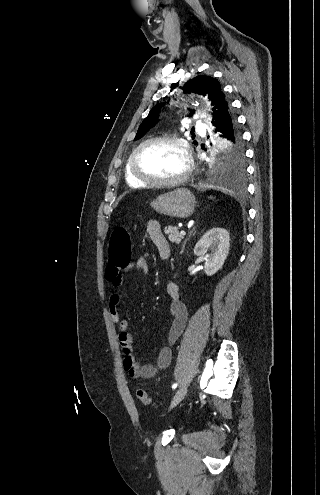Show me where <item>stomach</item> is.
<instances>
[{
  "label": "stomach",
  "instance_id": "1",
  "mask_svg": "<svg viewBox=\"0 0 320 495\" xmlns=\"http://www.w3.org/2000/svg\"><path fill=\"white\" fill-rule=\"evenodd\" d=\"M194 195L186 188L162 194L151 202V207L162 215L187 218L194 212Z\"/></svg>",
  "mask_w": 320,
  "mask_h": 495
}]
</instances>
